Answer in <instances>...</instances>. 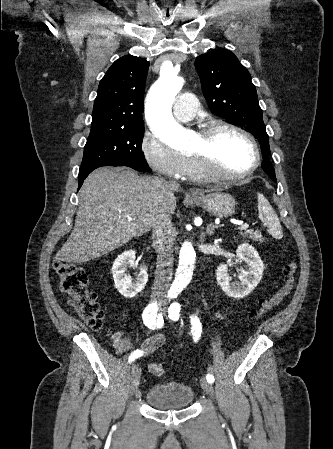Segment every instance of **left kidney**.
I'll return each instance as SVG.
<instances>
[{"mask_svg": "<svg viewBox=\"0 0 333 449\" xmlns=\"http://www.w3.org/2000/svg\"><path fill=\"white\" fill-rule=\"evenodd\" d=\"M237 262H245L247 265V269H242L239 274L240 282L232 281L227 264H221L217 268L216 279L218 285L228 296L243 298L259 284L264 264L255 248L247 243L238 246L236 258L232 264Z\"/></svg>", "mask_w": 333, "mask_h": 449, "instance_id": "obj_1", "label": "left kidney"}]
</instances>
